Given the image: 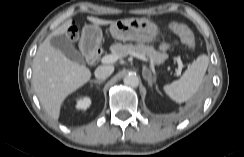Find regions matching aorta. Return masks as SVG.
<instances>
[{
  "instance_id": "aorta-1",
  "label": "aorta",
  "mask_w": 244,
  "mask_h": 157,
  "mask_svg": "<svg viewBox=\"0 0 244 157\" xmlns=\"http://www.w3.org/2000/svg\"><path fill=\"white\" fill-rule=\"evenodd\" d=\"M124 84L129 87H137L139 85V79L135 74H128L124 77Z\"/></svg>"
}]
</instances>
